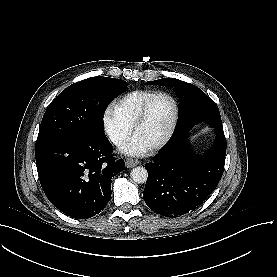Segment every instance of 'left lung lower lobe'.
Returning <instances> with one entry per match:
<instances>
[{
	"instance_id": "0a47b994",
	"label": "left lung lower lobe",
	"mask_w": 277,
	"mask_h": 277,
	"mask_svg": "<svg viewBox=\"0 0 277 277\" xmlns=\"http://www.w3.org/2000/svg\"><path fill=\"white\" fill-rule=\"evenodd\" d=\"M211 148L221 158L204 159L194 170L181 162L197 157L190 148L188 133L161 149L152 163L145 164L148 179L143 192L147 206L165 217H179L196 209L217 187L224 170L226 139L223 128H215Z\"/></svg>"
}]
</instances>
